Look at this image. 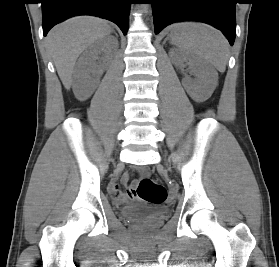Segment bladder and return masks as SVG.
Masks as SVG:
<instances>
[{
  "label": "bladder",
  "instance_id": "bladder-1",
  "mask_svg": "<svg viewBox=\"0 0 279 267\" xmlns=\"http://www.w3.org/2000/svg\"><path fill=\"white\" fill-rule=\"evenodd\" d=\"M123 213L131 221L138 222V221H143L144 220L143 217H142L143 213L137 212L133 209H129V208L124 209ZM161 216H162L161 214H158V215H156L155 218L158 219Z\"/></svg>",
  "mask_w": 279,
  "mask_h": 267
}]
</instances>
